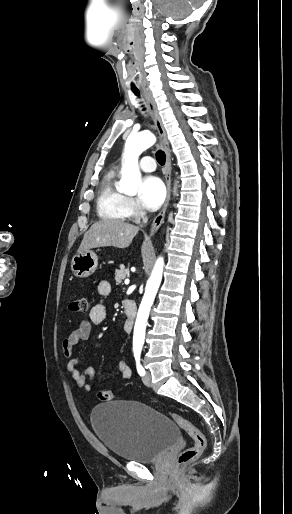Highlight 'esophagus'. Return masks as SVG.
<instances>
[{
    "instance_id": "34e87169",
    "label": "esophagus",
    "mask_w": 292,
    "mask_h": 514,
    "mask_svg": "<svg viewBox=\"0 0 292 514\" xmlns=\"http://www.w3.org/2000/svg\"><path fill=\"white\" fill-rule=\"evenodd\" d=\"M143 95L145 97L147 107L150 111V114L153 117L156 129L159 133L160 140H161V147L165 151V154H166L165 179H166V186H167V197H166L165 203H164L161 211L159 212V214L155 217V219L152 222L151 230H150V234H149V237H152L158 231V229L160 228L161 224L164 221L165 212L168 207L169 200H170L171 156H170V147H169L167 135H166L165 129L163 127L161 117L158 113L155 102H154L153 98L151 97L150 93L148 92V90L143 89Z\"/></svg>"
}]
</instances>
